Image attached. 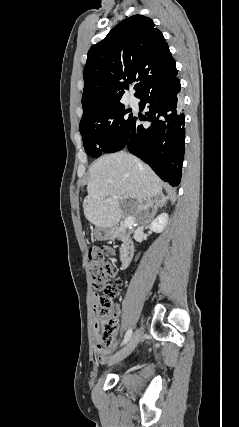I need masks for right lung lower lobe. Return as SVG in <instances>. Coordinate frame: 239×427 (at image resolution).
Instances as JSON below:
<instances>
[{
    "label": "right lung lower lobe",
    "instance_id": "obj_1",
    "mask_svg": "<svg viewBox=\"0 0 239 427\" xmlns=\"http://www.w3.org/2000/svg\"><path fill=\"white\" fill-rule=\"evenodd\" d=\"M176 75L177 72L137 96L140 109H148L147 117H133L121 147H127L171 186L180 183L185 148V117ZM141 120L150 121L151 125L144 127Z\"/></svg>",
    "mask_w": 239,
    "mask_h": 427
}]
</instances>
